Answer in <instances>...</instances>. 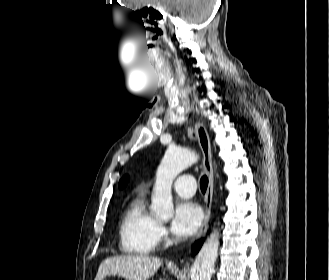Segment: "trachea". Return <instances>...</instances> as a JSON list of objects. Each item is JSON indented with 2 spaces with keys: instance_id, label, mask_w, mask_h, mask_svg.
<instances>
[{
  "instance_id": "1",
  "label": "trachea",
  "mask_w": 329,
  "mask_h": 280,
  "mask_svg": "<svg viewBox=\"0 0 329 280\" xmlns=\"http://www.w3.org/2000/svg\"><path fill=\"white\" fill-rule=\"evenodd\" d=\"M207 187H208V178L206 175H204L200 179V189L203 194H205Z\"/></svg>"
}]
</instances>
